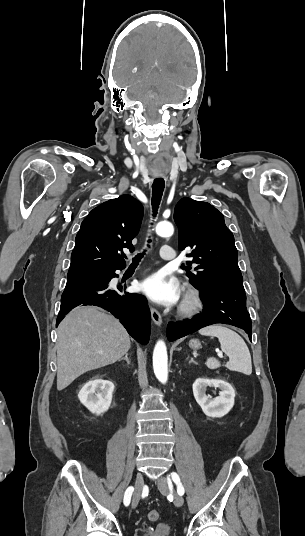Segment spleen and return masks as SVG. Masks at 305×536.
Wrapping results in <instances>:
<instances>
[{
	"mask_svg": "<svg viewBox=\"0 0 305 536\" xmlns=\"http://www.w3.org/2000/svg\"><path fill=\"white\" fill-rule=\"evenodd\" d=\"M201 336H215L218 338L222 352H225L229 356V362L226 364L228 370L232 372H242L246 376L252 374V362L250 352L241 336L223 328L222 324H214V326H207L199 330ZM207 368L210 370H216L220 368L221 364L216 358H209L206 362Z\"/></svg>",
	"mask_w": 305,
	"mask_h": 536,
	"instance_id": "spleen-1",
	"label": "spleen"
}]
</instances>
